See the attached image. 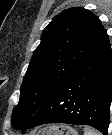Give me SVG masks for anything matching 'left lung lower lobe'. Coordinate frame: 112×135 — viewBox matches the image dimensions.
Instances as JSON below:
<instances>
[{
    "label": "left lung lower lobe",
    "mask_w": 112,
    "mask_h": 135,
    "mask_svg": "<svg viewBox=\"0 0 112 135\" xmlns=\"http://www.w3.org/2000/svg\"><path fill=\"white\" fill-rule=\"evenodd\" d=\"M112 101V50L108 35L97 43L23 128L66 123L108 134Z\"/></svg>",
    "instance_id": "obj_1"
}]
</instances>
